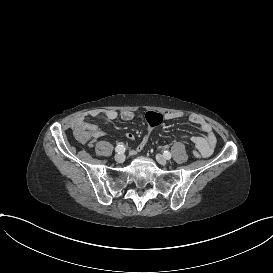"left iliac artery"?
Here are the masks:
<instances>
[{
	"mask_svg": "<svg viewBox=\"0 0 273 273\" xmlns=\"http://www.w3.org/2000/svg\"><path fill=\"white\" fill-rule=\"evenodd\" d=\"M163 155H164V157L166 159H170L171 158V153L169 151H165Z\"/></svg>",
	"mask_w": 273,
	"mask_h": 273,
	"instance_id": "obj_1",
	"label": "left iliac artery"
}]
</instances>
